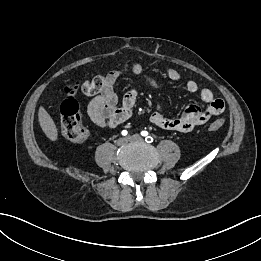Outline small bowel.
<instances>
[{"mask_svg": "<svg viewBox=\"0 0 261 261\" xmlns=\"http://www.w3.org/2000/svg\"><path fill=\"white\" fill-rule=\"evenodd\" d=\"M127 69L139 76L141 82L152 87L161 86L156 79L141 76L143 66L139 62L108 72L103 76V86L99 92H83L86 95L96 94L87 105V115L95 125L102 128H115L129 118L131 110L137 101V89L128 90L124 94L121 103L118 102V96L114 91L116 80ZM164 73L170 80L182 83L189 93H198L201 100L207 103V106L201 108L195 104L189 105L180 118L171 119L163 114L161 104L158 103L150 117V121L155 126L167 131L190 132L224 111V101L215 98L210 89L199 88L195 80L183 78L180 72L174 68L166 67Z\"/></svg>", "mask_w": 261, "mask_h": 261, "instance_id": "c3829d8e", "label": "small bowel"}]
</instances>
